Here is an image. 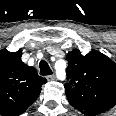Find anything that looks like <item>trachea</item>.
Returning <instances> with one entry per match:
<instances>
[{
    "label": "trachea",
    "mask_w": 116,
    "mask_h": 116,
    "mask_svg": "<svg viewBox=\"0 0 116 116\" xmlns=\"http://www.w3.org/2000/svg\"><path fill=\"white\" fill-rule=\"evenodd\" d=\"M39 67H40V74L41 75L46 76V75L52 74V70L46 61L42 60L39 64Z\"/></svg>",
    "instance_id": "3493384b"
}]
</instances>
